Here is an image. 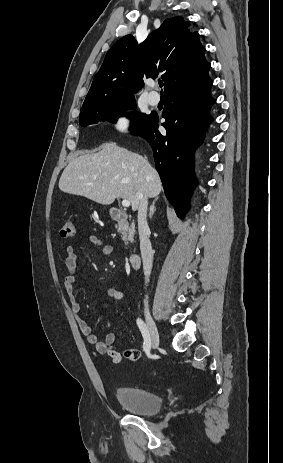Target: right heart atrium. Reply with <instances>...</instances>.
<instances>
[{
	"label": "right heart atrium",
	"instance_id": "obj_1",
	"mask_svg": "<svg viewBox=\"0 0 283 463\" xmlns=\"http://www.w3.org/2000/svg\"><path fill=\"white\" fill-rule=\"evenodd\" d=\"M113 127L118 132L125 133L130 128V121L125 115H118L113 121Z\"/></svg>",
	"mask_w": 283,
	"mask_h": 463
}]
</instances>
